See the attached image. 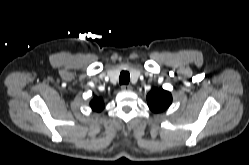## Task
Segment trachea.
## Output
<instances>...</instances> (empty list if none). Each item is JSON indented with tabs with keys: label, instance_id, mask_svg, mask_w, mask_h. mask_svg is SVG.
Returning <instances> with one entry per match:
<instances>
[{
	"label": "trachea",
	"instance_id": "1",
	"mask_svg": "<svg viewBox=\"0 0 249 165\" xmlns=\"http://www.w3.org/2000/svg\"><path fill=\"white\" fill-rule=\"evenodd\" d=\"M130 81V74L128 71H122L119 76V83L121 85H127Z\"/></svg>",
	"mask_w": 249,
	"mask_h": 165
}]
</instances>
